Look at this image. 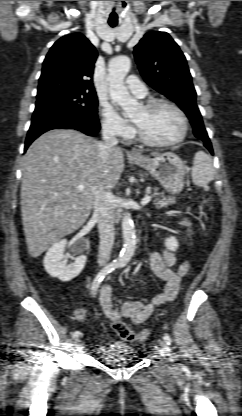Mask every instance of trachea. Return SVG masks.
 I'll return each mask as SVG.
<instances>
[{
	"label": "trachea",
	"mask_w": 242,
	"mask_h": 416,
	"mask_svg": "<svg viewBox=\"0 0 242 416\" xmlns=\"http://www.w3.org/2000/svg\"><path fill=\"white\" fill-rule=\"evenodd\" d=\"M109 25L113 28V27H115L117 25V23H111V22H109Z\"/></svg>",
	"instance_id": "obj_1"
}]
</instances>
